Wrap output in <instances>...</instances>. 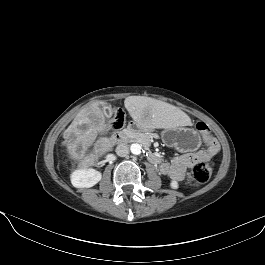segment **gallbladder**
<instances>
[{"instance_id":"bac80fb5","label":"gallbladder","mask_w":265,"mask_h":265,"mask_svg":"<svg viewBox=\"0 0 265 265\" xmlns=\"http://www.w3.org/2000/svg\"><path fill=\"white\" fill-rule=\"evenodd\" d=\"M104 113L107 117H111L112 116V108L110 106H106L104 109ZM83 126H80L79 128H82Z\"/></svg>"}]
</instances>
